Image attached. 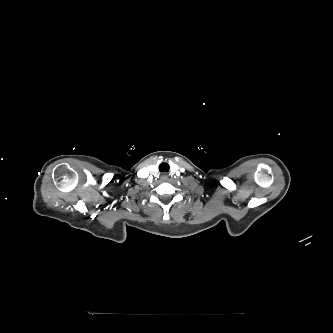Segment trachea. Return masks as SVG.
<instances>
[{
    "instance_id": "3493384b",
    "label": "trachea",
    "mask_w": 333,
    "mask_h": 333,
    "mask_svg": "<svg viewBox=\"0 0 333 333\" xmlns=\"http://www.w3.org/2000/svg\"><path fill=\"white\" fill-rule=\"evenodd\" d=\"M169 165H168V163H161L160 165H159V171H161V172H168L169 171Z\"/></svg>"
}]
</instances>
